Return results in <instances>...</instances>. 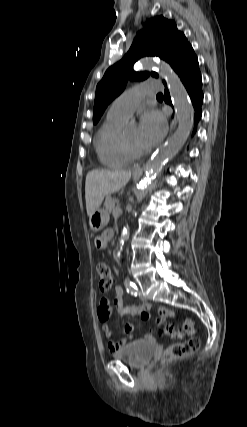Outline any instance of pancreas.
I'll use <instances>...</instances> for the list:
<instances>
[{"instance_id":"1","label":"pancreas","mask_w":247,"mask_h":427,"mask_svg":"<svg viewBox=\"0 0 247 427\" xmlns=\"http://www.w3.org/2000/svg\"><path fill=\"white\" fill-rule=\"evenodd\" d=\"M105 207L107 212H111L112 209L115 207V201L109 195L105 199Z\"/></svg>"}]
</instances>
